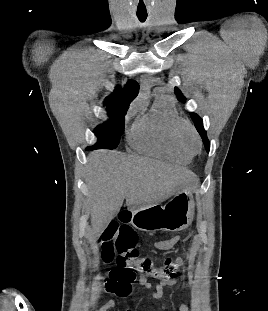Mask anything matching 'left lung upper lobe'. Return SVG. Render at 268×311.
I'll return each mask as SVG.
<instances>
[{
    "label": "left lung upper lobe",
    "mask_w": 268,
    "mask_h": 311,
    "mask_svg": "<svg viewBox=\"0 0 268 311\" xmlns=\"http://www.w3.org/2000/svg\"><path fill=\"white\" fill-rule=\"evenodd\" d=\"M175 94H176L179 101H181L183 103L186 102L185 96L181 93V91L178 88H175ZM191 118L195 124L197 131L199 132V134L201 135V137L203 139V143H204V146H205L207 152H209L210 142L207 138L206 131L204 130L202 119L196 113H191Z\"/></svg>",
    "instance_id": "5c2ea615"
}]
</instances>
